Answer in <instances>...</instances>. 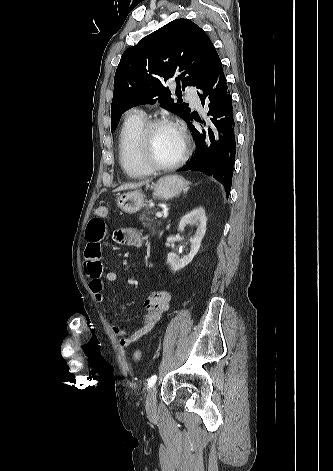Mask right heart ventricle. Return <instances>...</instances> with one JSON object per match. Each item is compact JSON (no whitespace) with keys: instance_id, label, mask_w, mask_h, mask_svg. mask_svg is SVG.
<instances>
[{"instance_id":"1","label":"right heart ventricle","mask_w":333,"mask_h":471,"mask_svg":"<svg viewBox=\"0 0 333 471\" xmlns=\"http://www.w3.org/2000/svg\"><path fill=\"white\" fill-rule=\"evenodd\" d=\"M145 123L144 116L130 114L125 118L118 136L120 166L125 174L133 179L144 178L152 173L138 155V138Z\"/></svg>"}]
</instances>
